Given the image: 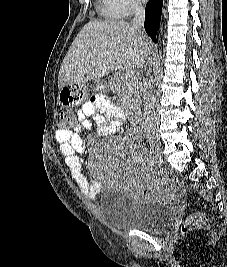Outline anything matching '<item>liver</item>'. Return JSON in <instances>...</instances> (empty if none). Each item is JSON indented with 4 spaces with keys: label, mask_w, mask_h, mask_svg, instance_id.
Here are the masks:
<instances>
[{
    "label": "liver",
    "mask_w": 227,
    "mask_h": 267,
    "mask_svg": "<svg viewBox=\"0 0 227 267\" xmlns=\"http://www.w3.org/2000/svg\"><path fill=\"white\" fill-rule=\"evenodd\" d=\"M151 40L124 20L91 21L78 33L63 59L59 88L66 82L98 80L113 69L141 68L150 52Z\"/></svg>",
    "instance_id": "6515ba94"
}]
</instances>
